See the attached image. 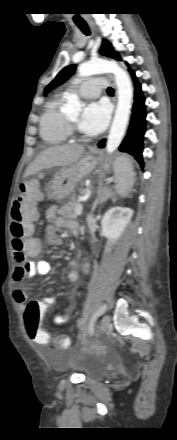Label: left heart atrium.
Segmentation results:
<instances>
[{
    "instance_id": "left-heart-atrium-1",
    "label": "left heart atrium",
    "mask_w": 177,
    "mask_h": 440,
    "mask_svg": "<svg viewBox=\"0 0 177 440\" xmlns=\"http://www.w3.org/2000/svg\"><path fill=\"white\" fill-rule=\"evenodd\" d=\"M109 118L110 109L105 102H91L83 109L78 128L87 134H98L106 128Z\"/></svg>"
}]
</instances>
